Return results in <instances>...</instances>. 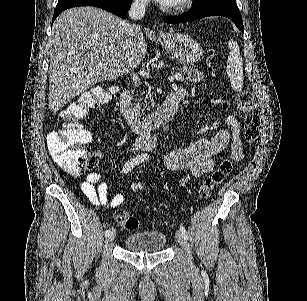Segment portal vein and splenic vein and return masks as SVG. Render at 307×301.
<instances>
[{
  "instance_id": "1",
  "label": "portal vein and splenic vein",
  "mask_w": 307,
  "mask_h": 301,
  "mask_svg": "<svg viewBox=\"0 0 307 301\" xmlns=\"http://www.w3.org/2000/svg\"><path fill=\"white\" fill-rule=\"evenodd\" d=\"M140 74H142V76H149V72H145V70H140ZM178 78H181L180 72H176L174 76H169V80H178Z\"/></svg>"
}]
</instances>
